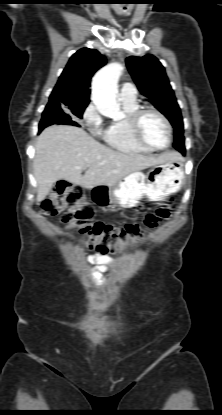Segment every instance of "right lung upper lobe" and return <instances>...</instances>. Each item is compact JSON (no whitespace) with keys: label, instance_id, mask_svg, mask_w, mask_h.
Instances as JSON below:
<instances>
[{"label":"right lung upper lobe","instance_id":"obj_1","mask_svg":"<svg viewBox=\"0 0 222 415\" xmlns=\"http://www.w3.org/2000/svg\"><path fill=\"white\" fill-rule=\"evenodd\" d=\"M105 64L106 58L95 49L82 48L77 51L59 77L48 104H88L91 78Z\"/></svg>","mask_w":222,"mask_h":415}]
</instances>
